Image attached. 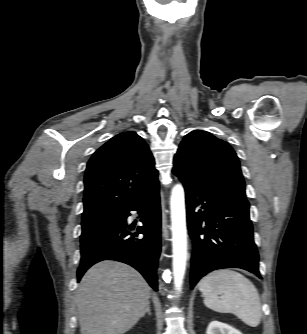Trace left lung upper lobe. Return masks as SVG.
<instances>
[{"label": "left lung upper lobe", "mask_w": 307, "mask_h": 334, "mask_svg": "<svg viewBox=\"0 0 307 334\" xmlns=\"http://www.w3.org/2000/svg\"><path fill=\"white\" fill-rule=\"evenodd\" d=\"M173 173L181 180L246 198L236 153L206 131L194 130L184 137L174 157Z\"/></svg>", "instance_id": "1"}]
</instances>
